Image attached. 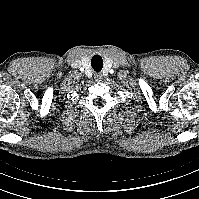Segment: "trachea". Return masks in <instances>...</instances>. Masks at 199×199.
<instances>
[{
	"instance_id": "1",
	"label": "trachea",
	"mask_w": 199,
	"mask_h": 199,
	"mask_svg": "<svg viewBox=\"0 0 199 199\" xmlns=\"http://www.w3.org/2000/svg\"><path fill=\"white\" fill-rule=\"evenodd\" d=\"M91 66L94 69V71L99 72L101 71L103 67V61L102 58L99 55L93 56L91 60Z\"/></svg>"
}]
</instances>
